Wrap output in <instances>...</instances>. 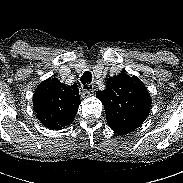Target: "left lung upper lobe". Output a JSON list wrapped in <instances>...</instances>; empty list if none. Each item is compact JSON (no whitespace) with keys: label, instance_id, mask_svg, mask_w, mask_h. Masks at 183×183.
I'll return each mask as SVG.
<instances>
[{"label":"left lung upper lobe","instance_id":"1","mask_svg":"<svg viewBox=\"0 0 183 183\" xmlns=\"http://www.w3.org/2000/svg\"><path fill=\"white\" fill-rule=\"evenodd\" d=\"M104 91L96 97L104 105L108 125L135 129L146 119L151 97L147 88L136 76L121 72L107 80Z\"/></svg>","mask_w":183,"mask_h":183}]
</instances>
